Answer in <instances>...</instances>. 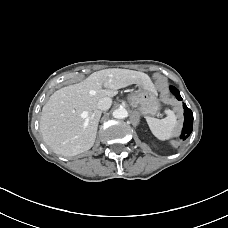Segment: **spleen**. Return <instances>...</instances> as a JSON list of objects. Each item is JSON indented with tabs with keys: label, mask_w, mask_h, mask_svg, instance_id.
<instances>
[{
	"label": "spleen",
	"mask_w": 228,
	"mask_h": 228,
	"mask_svg": "<svg viewBox=\"0 0 228 228\" xmlns=\"http://www.w3.org/2000/svg\"><path fill=\"white\" fill-rule=\"evenodd\" d=\"M146 121L153 135L160 140L171 138L178 124L177 117L172 111H169L163 119L147 116Z\"/></svg>",
	"instance_id": "1"
}]
</instances>
